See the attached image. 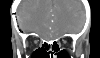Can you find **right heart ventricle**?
<instances>
[{
	"label": "right heart ventricle",
	"instance_id": "e07e8e85",
	"mask_svg": "<svg viewBox=\"0 0 100 58\" xmlns=\"http://www.w3.org/2000/svg\"><path fill=\"white\" fill-rule=\"evenodd\" d=\"M39 4V6H42V7H44V5H42V3H38Z\"/></svg>",
	"mask_w": 100,
	"mask_h": 58
}]
</instances>
